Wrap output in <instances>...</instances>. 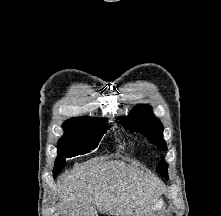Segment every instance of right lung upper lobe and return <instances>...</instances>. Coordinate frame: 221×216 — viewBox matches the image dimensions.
I'll return each instance as SVG.
<instances>
[{
	"label": "right lung upper lobe",
	"instance_id": "right-lung-upper-lobe-1",
	"mask_svg": "<svg viewBox=\"0 0 221 216\" xmlns=\"http://www.w3.org/2000/svg\"><path fill=\"white\" fill-rule=\"evenodd\" d=\"M82 118H91V117L85 116V117L72 118V119L67 120L63 125H65V124H67V123H70V122H72V121H74V120H77V119H82Z\"/></svg>",
	"mask_w": 221,
	"mask_h": 216
}]
</instances>
